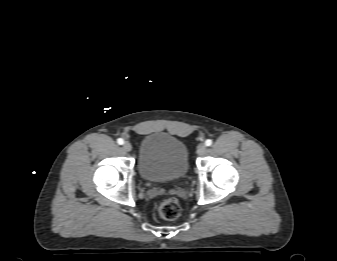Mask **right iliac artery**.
<instances>
[{
	"label": "right iliac artery",
	"mask_w": 337,
	"mask_h": 261,
	"mask_svg": "<svg viewBox=\"0 0 337 261\" xmlns=\"http://www.w3.org/2000/svg\"><path fill=\"white\" fill-rule=\"evenodd\" d=\"M117 143L122 145L124 143V140L122 138L117 139Z\"/></svg>",
	"instance_id": "82829eb1"
}]
</instances>
